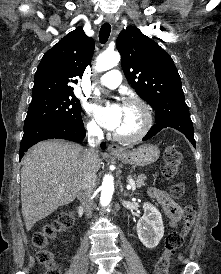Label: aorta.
Segmentation results:
<instances>
[{"label":"aorta","instance_id":"aorta-1","mask_svg":"<svg viewBox=\"0 0 221 274\" xmlns=\"http://www.w3.org/2000/svg\"><path fill=\"white\" fill-rule=\"evenodd\" d=\"M120 61V55L117 52H111L100 55L96 60L97 71H107L115 67ZM114 192V180L111 175H105L101 185L100 203L106 206L110 203Z\"/></svg>","mask_w":221,"mask_h":274}]
</instances>
